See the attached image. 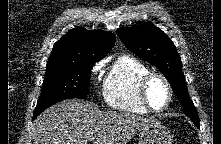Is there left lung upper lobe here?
<instances>
[{
	"label": "left lung upper lobe",
	"mask_w": 221,
	"mask_h": 144,
	"mask_svg": "<svg viewBox=\"0 0 221 144\" xmlns=\"http://www.w3.org/2000/svg\"><path fill=\"white\" fill-rule=\"evenodd\" d=\"M117 35L128 50L150 62L164 74L184 107L185 114L194 124L199 123L197 110L186 88L181 58L167 35L148 22L119 28Z\"/></svg>",
	"instance_id": "1"
}]
</instances>
